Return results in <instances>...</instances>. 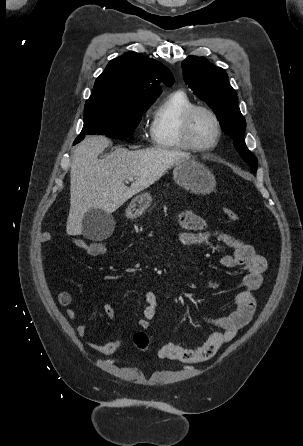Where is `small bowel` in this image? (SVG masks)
I'll return each mask as SVG.
<instances>
[{
  "instance_id": "1",
  "label": "small bowel",
  "mask_w": 303,
  "mask_h": 446,
  "mask_svg": "<svg viewBox=\"0 0 303 446\" xmlns=\"http://www.w3.org/2000/svg\"><path fill=\"white\" fill-rule=\"evenodd\" d=\"M179 222L182 227V232L178 236L179 245L193 246L215 238L231 249L230 253L221 258V264L227 268L241 267L245 271L243 278L244 288L235 297L234 310L223 317L204 318L213 327V332L202 346L195 349H188L178 344L168 342L163 344L159 349L158 354L162 359L177 360L184 363H198L213 357L224 344L230 342L239 330L249 323L256 306L255 292L263 282V273L267 269V261L265 257L255 252L253 246L244 243L230 234L209 228L202 218L190 211L181 213ZM51 239L52 235L48 232H43L39 237L41 243H47ZM70 240L74 245L86 252L90 248V243L78 237L72 236ZM209 286L216 288L218 285L210 282ZM87 291L91 296L89 287H87ZM56 298L61 306L67 307L73 302V293L71 290H57ZM156 306V293L152 290L147 291L145 293V308L142 318L138 321L140 328L146 329L150 326L156 314ZM104 313L109 319L114 318L115 311L110 302L104 305ZM66 316L68 319L74 320L77 317V313L74 309H68ZM87 332L88 327L85 324H80L76 327V333L79 337H85ZM86 345L97 353L109 355L119 349L121 340L105 343L86 342Z\"/></svg>"
}]
</instances>
